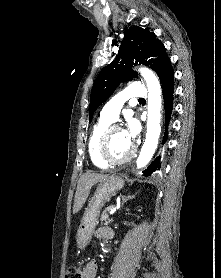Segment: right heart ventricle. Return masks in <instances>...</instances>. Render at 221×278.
Listing matches in <instances>:
<instances>
[{
    "label": "right heart ventricle",
    "mask_w": 221,
    "mask_h": 278,
    "mask_svg": "<svg viewBox=\"0 0 221 278\" xmlns=\"http://www.w3.org/2000/svg\"><path fill=\"white\" fill-rule=\"evenodd\" d=\"M111 122L103 117H100L98 122L94 125L89 139H88V152L92 163L98 167L105 169L108 167L106 163H104L98 154V145L100 138L104 131L110 126Z\"/></svg>",
    "instance_id": "e07e8e85"
}]
</instances>
